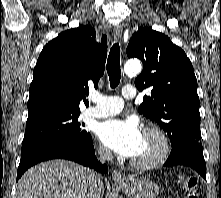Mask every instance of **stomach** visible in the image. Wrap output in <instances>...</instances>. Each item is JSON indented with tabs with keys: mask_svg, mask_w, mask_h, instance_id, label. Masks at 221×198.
<instances>
[{
	"mask_svg": "<svg viewBox=\"0 0 221 198\" xmlns=\"http://www.w3.org/2000/svg\"><path fill=\"white\" fill-rule=\"evenodd\" d=\"M117 187L129 198H156L160 193L159 186L148 178L130 176Z\"/></svg>",
	"mask_w": 221,
	"mask_h": 198,
	"instance_id": "stomach-1",
	"label": "stomach"
}]
</instances>
